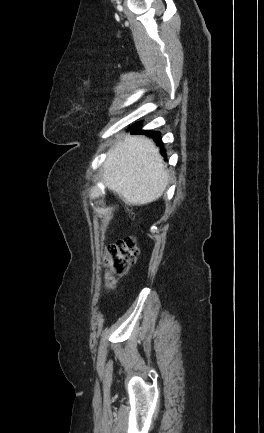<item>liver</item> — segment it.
<instances>
[{
	"label": "liver",
	"mask_w": 264,
	"mask_h": 433,
	"mask_svg": "<svg viewBox=\"0 0 264 433\" xmlns=\"http://www.w3.org/2000/svg\"><path fill=\"white\" fill-rule=\"evenodd\" d=\"M159 148L145 136H128L115 144L103 164L106 186L129 205L143 206L162 196L168 172Z\"/></svg>",
	"instance_id": "6515ba94"
}]
</instances>
